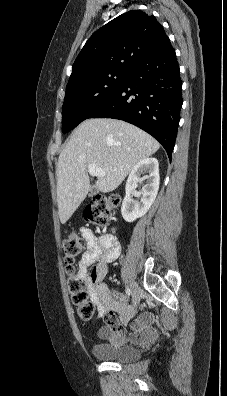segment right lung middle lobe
<instances>
[{"label": "right lung middle lobe", "instance_id": "dd1d6c3e", "mask_svg": "<svg viewBox=\"0 0 227 396\" xmlns=\"http://www.w3.org/2000/svg\"><path fill=\"white\" fill-rule=\"evenodd\" d=\"M130 71L104 72L67 87L62 107V132L66 133L113 96L125 83Z\"/></svg>", "mask_w": 227, "mask_h": 396}]
</instances>
